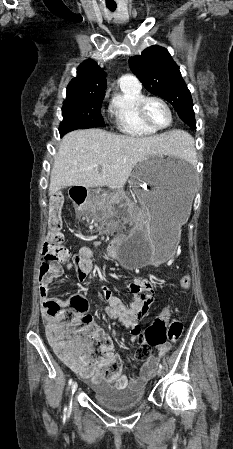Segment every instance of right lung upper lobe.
Listing matches in <instances>:
<instances>
[{
	"label": "right lung upper lobe",
	"mask_w": 233,
	"mask_h": 449,
	"mask_svg": "<svg viewBox=\"0 0 233 449\" xmlns=\"http://www.w3.org/2000/svg\"><path fill=\"white\" fill-rule=\"evenodd\" d=\"M106 74L92 60H86L77 68V77L67 86L66 97L105 94Z\"/></svg>",
	"instance_id": "obj_1"
}]
</instances>
